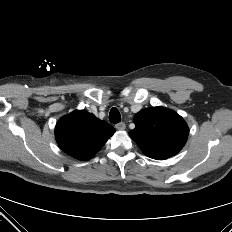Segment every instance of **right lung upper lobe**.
Returning <instances> with one entry per match:
<instances>
[{
  "label": "right lung upper lobe",
  "instance_id": "obj_1",
  "mask_svg": "<svg viewBox=\"0 0 232 232\" xmlns=\"http://www.w3.org/2000/svg\"><path fill=\"white\" fill-rule=\"evenodd\" d=\"M115 129L85 110H76L56 124L55 137L68 155L79 160L92 158Z\"/></svg>",
  "mask_w": 232,
  "mask_h": 232
}]
</instances>
